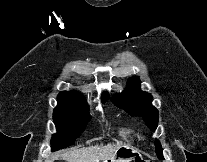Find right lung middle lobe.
Masks as SVG:
<instances>
[{"instance_id": "obj_1", "label": "right lung middle lobe", "mask_w": 207, "mask_h": 162, "mask_svg": "<svg viewBox=\"0 0 207 162\" xmlns=\"http://www.w3.org/2000/svg\"><path fill=\"white\" fill-rule=\"evenodd\" d=\"M53 120L58 131L51 140L52 151L74 144L90 120L85 99L58 97V105L53 112Z\"/></svg>"}]
</instances>
